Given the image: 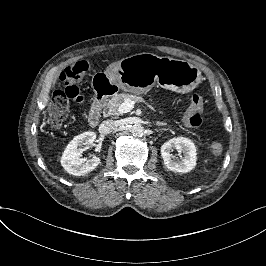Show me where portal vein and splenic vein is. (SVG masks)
I'll use <instances>...</instances> for the list:
<instances>
[{
    "instance_id": "obj_1",
    "label": "portal vein and splenic vein",
    "mask_w": 266,
    "mask_h": 266,
    "mask_svg": "<svg viewBox=\"0 0 266 266\" xmlns=\"http://www.w3.org/2000/svg\"><path fill=\"white\" fill-rule=\"evenodd\" d=\"M134 107L135 103L129 99H126L116 107L115 113L119 115H124L131 112Z\"/></svg>"
}]
</instances>
